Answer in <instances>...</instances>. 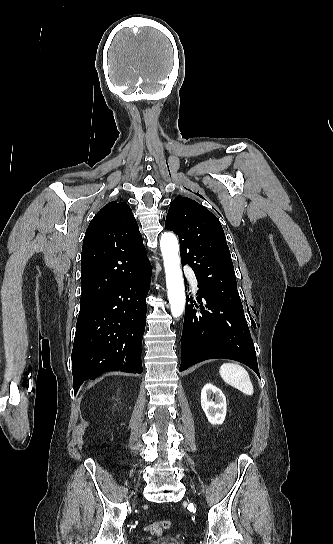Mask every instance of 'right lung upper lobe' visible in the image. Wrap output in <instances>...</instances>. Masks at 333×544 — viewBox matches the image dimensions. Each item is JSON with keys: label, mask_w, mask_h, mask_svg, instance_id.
Here are the masks:
<instances>
[{"label": "right lung upper lobe", "mask_w": 333, "mask_h": 544, "mask_svg": "<svg viewBox=\"0 0 333 544\" xmlns=\"http://www.w3.org/2000/svg\"><path fill=\"white\" fill-rule=\"evenodd\" d=\"M131 208L113 201L91 220L83 240L81 299L93 302L149 264Z\"/></svg>", "instance_id": "right-lung-upper-lobe-1"}]
</instances>
